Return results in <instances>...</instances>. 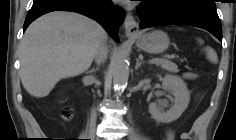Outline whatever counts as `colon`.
Masks as SVG:
<instances>
[{
    "instance_id": "obj_1",
    "label": "colon",
    "mask_w": 236,
    "mask_h": 140,
    "mask_svg": "<svg viewBox=\"0 0 236 140\" xmlns=\"http://www.w3.org/2000/svg\"><path fill=\"white\" fill-rule=\"evenodd\" d=\"M72 113H71V110L70 108H64L63 111H62V116L65 118V119H69L71 117Z\"/></svg>"
}]
</instances>
